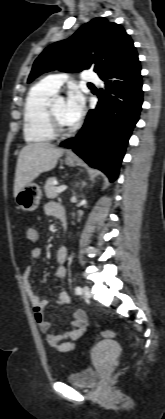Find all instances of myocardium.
Listing matches in <instances>:
<instances>
[{
	"mask_svg": "<svg viewBox=\"0 0 165 419\" xmlns=\"http://www.w3.org/2000/svg\"><path fill=\"white\" fill-rule=\"evenodd\" d=\"M47 118H48L50 128L55 136H67L74 131V126L70 125L68 127H65L60 123V121L58 120L53 110L52 103L48 104Z\"/></svg>",
	"mask_w": 165,
	"mask_h": 419,
	"instance_id": "f54148a6",
	"label": "myocardium"
}]
</instances>
